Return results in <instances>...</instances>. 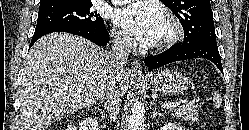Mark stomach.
Returning <instances> with one entry per match:
<instances>
[{"label": "stomach", "mask_w": 249, "mask_h": 130, "mask_svg": "<svg viewBox=\"0 0 249 130\" xmlns=\"http://www.w3.org/2000/svg\"><path fill=\"white\" fill-rule=\"evenodd\" d=\"M146 82L155 91L167 95H178L188 87L187 78L179 71L172 69L161 70L146 79Z\"/></svg>", "instance_id": "0dacf381"}]
</instances>
